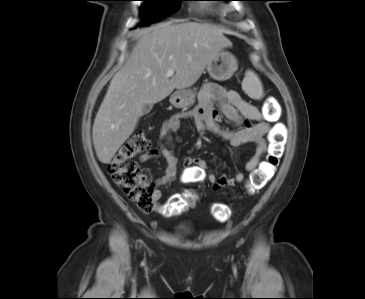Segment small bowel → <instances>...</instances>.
Listing matches in <instances>:
<instances>
[{"label":"small bowel","instance_id":"1","mask_svg":"<svg viewBox=\"0 0 365 299\" xmlns=\"http://www.w3.org/2000/svg\"><path fill=\"white\" fill-rule=\"evenodd\" d=\"M218 103L216 107L215 103ZM221 115L238 126L235 130L222 129L218 122ZM183 120H189L199 133L209 132L224 139L230 146L239 147L247 142L256 145V152L246 163L245 170L253 172L261 163L267 151L266 136L270 131L268 120L260 111L235 91H225L214 83L206 84L200 94L199 101L192 109L175 113L164 121L159 129L158 146L140 156V161L146 163L152 159H162L166 162L165 173L156 180L158 186L166 185L176 178L178 159L168 148ZM245 175L237 172L234 176H217L208 171L207 163L198 157L185 159V174L183 182L207 181L213 188L234 186L243 182ZM160 196L157 190L156 197ZM175 197V196H174Z\"/></svg>","mask_w":365,"mask_h":299}]
</instances>
